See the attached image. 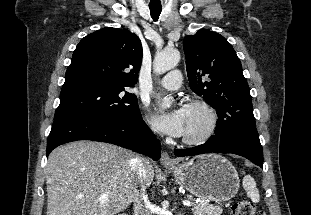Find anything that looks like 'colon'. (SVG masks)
I'll list each match as a JSON object with an SVG mask.
<instances>
[{
  "label": "colon",
  "mask_w": 311,
  "mask_h": 215,
  "mask_svg": "<svg viewBox=\"0 0 311 215\" xmlns=\"http://www.w3.org/2000/svg\"><path fill=\"white\" fill-rule=\"evenodd\" d=\"M232 215H266V213L256 210L251 201L242 200L232 205Z\"/></svg>",
  "instance_id": "5ec220e1"
}]
</instances>
